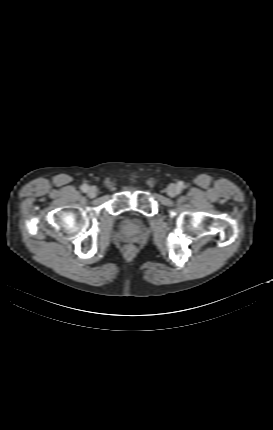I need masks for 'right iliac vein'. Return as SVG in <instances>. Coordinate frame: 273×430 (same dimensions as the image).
Instances as JSON below:
<instances>
[{
	"label": "right iliac vein",
	"mask_w": 273,
	"mask_h": 430,
	"mask_svg": "<svg viewBox=\"0 0 273 430\" xmlns=\"http://www.w3.org/2000/svg\"><path fill=\"white\" fill-rule=\"evenodd\" d=\"M87 195L90 198H94L97 195V189L94 186L89 187L88 191H87Z\"/></svg>",
	"instance_id": "63e3f726"
}]
</instances>
